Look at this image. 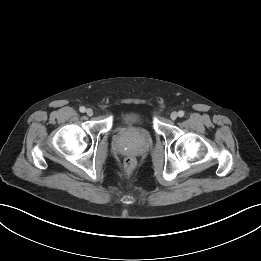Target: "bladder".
Here are the masks:
<instances>
[{
	"instance_id": "bladder-1",
	"label": "bladder",
	"mask_w": 261,
	"mask_h": 261,
	"mask_svg": "<svg viewBox=\"0 0 261 261\" xmlns=\"http://www.w3.org/2000/svg\"><path fill=\"white\" fill-rule=\"evenodd\" d=\"M122 119L127 123L144 122L145 116L139 112H128L122 116Z\"/></svg>"
}]
</instances>
